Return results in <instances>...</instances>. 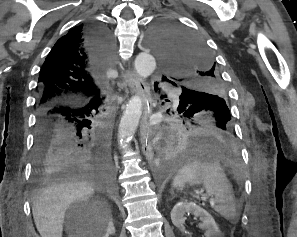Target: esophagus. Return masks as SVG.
I'll list each match as a JSON object with an SVG mask.
<instances>
[{"instance_id":"esophagus-1","label":"esophagus","mask_w":297,"mask_h":237,"mask_svg":"<svg viewBox=\"0 0 297 237\" xmlns=\"http://www.w3.org/2000/svg\"><path fill=\"white\" fill-rule=\"evenodd\" d=\"M123 80L127 85V89L132 93H139L141 92V84L139 78L137 77L134 71H126L123 73ZM151 112V108L149 105H144L143 115L140 124V141L143 154L145 155L148 161H152L154 157L153 149L151 146V136H150V129H149V115Z\"/></svg>"}]
</instances>
